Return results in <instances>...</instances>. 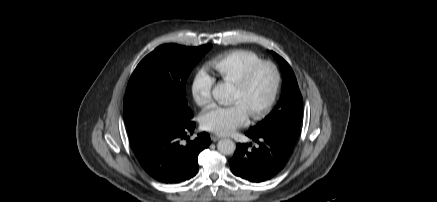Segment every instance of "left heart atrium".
<instances>
[{
  "instance_id": "39dd6f15",
  "label": "left heart atrium",
  "mask_w": 437,
  "mask_h": 202,
  "mask_svg": "<svg viewBox=\"0 0 437 202\" xmlns=\"http://www.w3.org/2000/svg\"><path fill=\"white\" fill-rule=\"evenodd\" d=\"M249 114L241 102L229 106L213 107L207 110L201 119L205 130L219 135L231 134L237 128L245 125Z\"/></svg>"
}]
</instances>
